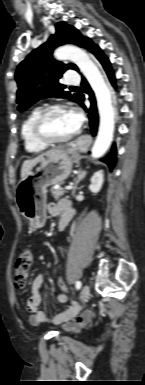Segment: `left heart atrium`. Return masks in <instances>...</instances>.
I'll use <instances>...</instances> for the list:
<instances>
[{
  "label": "left heart atrium",
  "instance_id": "left-heart-atrium-1",
  "mask_svg": "<svg viewBox=\"0 0 145 385\" xmlns=\"http://www.w3.org/2000/svg\"><path fill=\"white\" fill-rule=\"evenodd\" d=\"M69 113L74 124L76 125L77 128H79L83 121L82 113L79 110H71Z\"/></svg>",
  "mask_w": 145,
  "mask_h": 385
}]
</instances>
